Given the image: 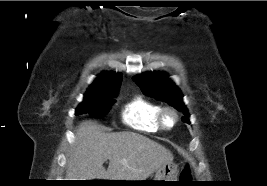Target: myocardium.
Here are the masks:
<instances>
[{
    "mask_svg": "<svg viewBox=\"0 0 267 186\" xmlns=\"http://www.w3.org/2000/svg\"><path fill=\"white\" fill-rule=\"evenodd\" d=\"M167 114H172L174 117L173 123L170 125H168L165 122V117ZM179 119L180 117H179L177 110L170 106L161 107L158 112V116H157V122H158L160 129L166 130V131L173 129L178 124Z\"/></svg>",
    "mask_w": 267,
    "mask_h": 186,
    "instance_id": "myocardium-1",
    "label": "myocardium"
}]
</instances>
